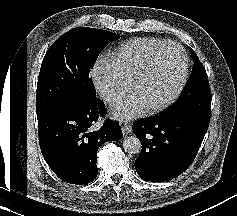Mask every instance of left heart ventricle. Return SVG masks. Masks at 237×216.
<instances>
[{
  "label": "left heart ventricle",
  "instance_id": "obj_1",
  "mask_svg": "<svg viewBox=\"0 0 237 216\" xmlns=\"http://www.w3.org/2000/svg\"><path fill=\"white\" fill-rule=\"evenodd\" d=\"M179 65L177 59L144 72L137 84L136 98L151 102L164 98L177 80Z\"/></svg>",
  "mask_w": 237,
  "mask_h": 216
}]
</instances>
